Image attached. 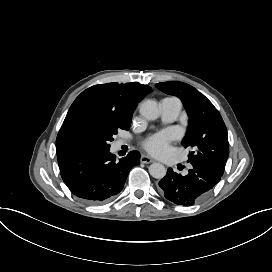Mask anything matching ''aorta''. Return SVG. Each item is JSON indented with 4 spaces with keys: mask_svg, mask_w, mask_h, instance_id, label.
I'll list each match as a JSON object with an SVG mask.
<instances>
[{
    "mask_svg": "<svg viewBox=\"0 0 272 272\" xmlns=\"http://www.w3.org/2000/svg\"><path fill=\"white\" fill-rule=\"evenodd\" d=\"M139 112L142 116L149 120H154L159 117L158 103L154 100H144ZM149 173L153 178L162 179L166 175V168L163 164L155 162L149 166Z\"/></svg>",
    "mask_w": 272,
    "mask_h": 272,
    "instance_id": "aorta-1",
    "label": "aorta"
}]
</instances>
